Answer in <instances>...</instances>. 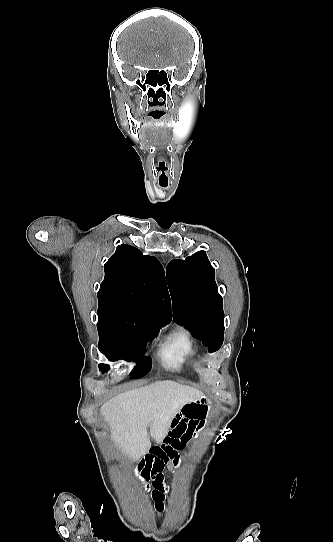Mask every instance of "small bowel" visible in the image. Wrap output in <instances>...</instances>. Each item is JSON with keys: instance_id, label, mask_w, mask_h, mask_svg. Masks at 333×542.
Segmentation results:
<instances>
[{"instance_id": "obj_1", "label": "small bowel", "mask_w": 333, "mask_h": 542, "mask_svg": "<svg viewBox=\"0 0 333 542\" xmlns=\"http://www.w3.org/2000/svg\"><path fill=\"white\" fill-rule=\"evenodd\" d=\"M177 411L163 445L152 447L139 467L138 479L142 492L151 498L158 513L164 509L163 500L169 489L162 473L164 466L169 462L177 465L178 452L193 449L203 429V419L208 414L204 405L191 401Z\"/></svg>"}]
</instances>
